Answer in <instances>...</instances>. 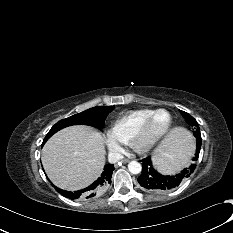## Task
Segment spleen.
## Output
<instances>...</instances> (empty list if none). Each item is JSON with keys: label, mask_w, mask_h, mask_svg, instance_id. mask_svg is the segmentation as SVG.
Listing matches in <instances>:
<instances>
[{"label": "spleen", "mask_w": 233, "mask_h": 233, "mask_svg": "<svg viewBox=\"0 0 233 233\" xmlns=\"http://www.w3.org/2000/svg\"><path fill=\"white\" fill-rule=\"evenodd\" d=\"M183 132H185L186 134H188L187 131L183 130ZM166 172H169V173H174V171H169V170H166Z\"/></svg>", "instance_id": "spleen-1"}]
</instances>
